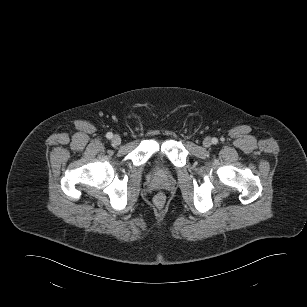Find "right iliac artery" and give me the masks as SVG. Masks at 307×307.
I'll list each match as a JSON object with an SVG mask.
<instances>
[{"label":"right iliac artery","mask_w":307,"mask_h":307,"mask_svg":"<svg viewBox=\"0 0 307 307\" xmlns=\"http://www.w3.org/2000/svg\"><path fill=\"white\" fill-rule=\"evenodd\" d=\"M106 137H107L108 139H111V138L113 137V134H112L111 132H108V133L106 134Z\"/></svg>","instance_id":"obj_1"}]
</instances>
